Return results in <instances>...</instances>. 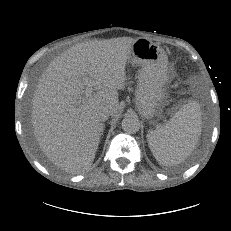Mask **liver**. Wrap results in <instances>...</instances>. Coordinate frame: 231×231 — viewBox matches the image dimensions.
I'll list each match as a JSON object with an SVG mask.
<instances>
[{"label": "liver", "mask_w": 231, "mask_h": 231, "mask_svg": "<svg viewBox=\"0 0 231 231\" xmlns=\"http://www.w3.org/2000/svg\"><path fill=\"white\" fill-rule=\"evenodd\" d=\"M135 39L119 37L78 43L54 59L42 74L32 100L35 138L46 157L69 173L90 168L104 124L98 112L119 110L118 90ZM92 82L86 96L83 78Z\"/></svg>", "instance_id": "6515ba94"}]
</instances>
